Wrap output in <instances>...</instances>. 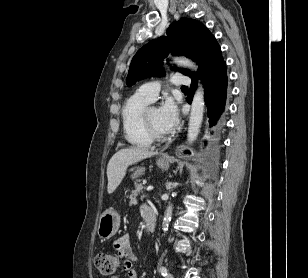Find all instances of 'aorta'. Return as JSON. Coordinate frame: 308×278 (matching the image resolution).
Listing matches in <instances>:
<instances>
[{"label":"aorta","mask_w":308,"mask_h":278,"mask_svg":"<svg viewBox=\"0 0 308 278\" xmlns=\"http://www.w3.org/2000/svg\"><path fill=\"white\" fill-rule=\"evenodd\" d=\"M175 62L185 67L191 68L193 70L197 69L196 65L192 61L186 58H176ZM203 113H204V90L202 86L199 84L195 92V95L193 97V101L191 104V113L189 117L187 136H188V141L190 143L193 142L199 134L200 126L203 120ZM171 216H172V205L169 204L163 218L164 231L168 229Z\"/></svg>","instance_id":"762f6f07"}]
</instances>
